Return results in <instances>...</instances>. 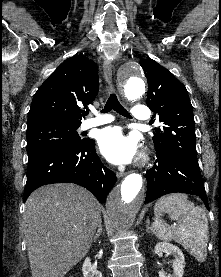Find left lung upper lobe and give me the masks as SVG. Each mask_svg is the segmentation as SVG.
Listing matches in <instances>:
<instances>
[{
    "instance_id": "1",
    "label": "left lung upper lobe",
    "mask_w": 221,
    "mask_h": 277,
    "mask_svg": "<svg viewBox=\"0 0 221 277\" xmlns=\"http://www.w3.org/2000/svg\"><path fill=\"white\" fill-rule=\"evenodd\" d=\"M148 81L147 106L159 117L163 129H155L156 154H174L198 165L193 107L187 89L156 61L142 59Z\"/></svg>"
}]
</instances>
